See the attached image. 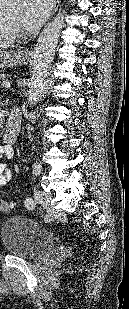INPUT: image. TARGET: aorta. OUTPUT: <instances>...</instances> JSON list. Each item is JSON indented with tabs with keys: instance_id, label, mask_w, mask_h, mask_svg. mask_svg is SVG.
<instances>
[{
	"instance_id": "obj_1",
	"label": "aorta",
	"mask_w": 129,
	"mask_h": 309,
	"mask_svg": "<svg viewBox=\"0 0 129 309\" xmlns=\"http://www.w3.org/2000/svg\"><path fill=\"white\" fill-rule=\"evenodd\" d=\"M63 26V17L58 16L43 29L38 38L33 54L32 72L28 84L27 103L30 108L37 104L45 89L49 68L54 58Z\"/></svg>"
}]
</instances>
